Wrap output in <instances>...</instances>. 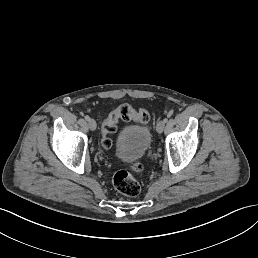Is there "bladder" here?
I'll list each match as a JSON object with an SVG mask.
<instances>
[{
	"mask_svg": "<svg viewBox=\"0 0 258 258\" xmlns=\"http://www.w3.org/2000/svg\"><path fill=\"white\" fill-rule=\"evenodd\" d=\"M151 141V133L146 125H130L118 135V153L125 161H135L145 155Z\"/></svg>",
	"mask_w": 258,
	"mask_h": 258,
	"instance_id": "bladder-1",
	"label": "bladder"
}]
</instances>
